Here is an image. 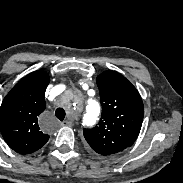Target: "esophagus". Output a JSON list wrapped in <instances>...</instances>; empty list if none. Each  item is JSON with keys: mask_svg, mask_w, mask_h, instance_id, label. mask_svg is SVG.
Instances as JSON below:
<instances>
[{"mask_svg": "<svg viewBox=\"0 0 183 183\" xmlns=\"http://www.w3.org/2000/svg\"><path fill=\"white\" fill-rule=\"evenodd\" d=\"M62 126H71L72 125V122L71 121H68V120H65L61 123Z\"/></svg>", "mask_w": 183, "mask_h": 183, "instance_id": "esophagus-1", "label": "esophagus"}]
</instances>
